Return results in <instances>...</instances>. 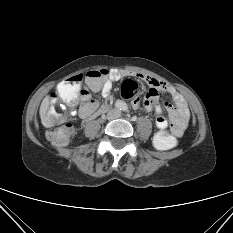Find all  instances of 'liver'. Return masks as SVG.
<instances>
[{"label": "liver", "instance_id": "obj_1", "mask_svg": "<svg viewBox=\"0 0 233 233\" xmlns=\"http://www.w3.org/2000/svg\"><path fill=\"white\" fill-rule=\"evenodd\" d=\"M49 103H50V97L47 95L43 99V101L41 103V106H40V111L39 112H40L41 117H43L46 114V112H47V110L49 108Z\"/></svg>", "mask_w": 233, "mask_h": 233}]
</instances>
